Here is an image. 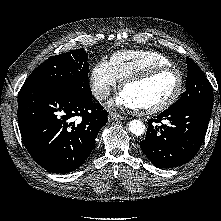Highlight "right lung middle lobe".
Instances as JSON below:
<instances>
[{"label":"right lung middle lobe","instance_id":"right-lung-middle-lobe-1","mask_svg":"<svg viewBox=\"0 0 221 221\" xmlns=\"http://www.w3.org/2000/svg\"><path fill=\"white\" fill-rule=\"evenodd\" d=\"M88 71V54L84 48L77 49L47 59L31 73L21 89L37 86L59 87L91 98Z\"/></svg>","mask_w":221,"mask_h":221}]
</instances>
